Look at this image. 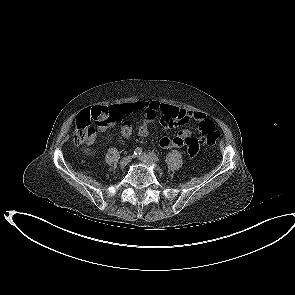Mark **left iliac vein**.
<instances>
[{
  "label": "left iliac vein",
  "mask_w": 295,
  "mask_h": 295,
  "mask_svg": "<svg viewBox=\"0 0 295 295\" xmlns=\"http://www.w3.org/2000/svg\"><path fill=\"white\" fill-rule=\"evenodd\" d=\"M138 159L148 165H152L155 166L157 170H161L159 166L156 165V163L154 162V160L148 155V154H142L140 156H138Z\"/></svg>",
  "instance_id": "1"
}]
</instances>
